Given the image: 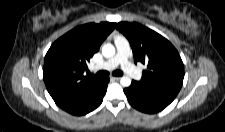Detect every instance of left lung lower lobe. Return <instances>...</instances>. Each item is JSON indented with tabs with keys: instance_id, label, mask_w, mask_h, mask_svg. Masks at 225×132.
<instances>
[{
	"instance_id": "1",
	"label": "left lung lower lobe",
	"mask_w": 225,
	"mask_h": 132,
	"mask_svg": "<svg viewBox=\"0 0 225 132\" xmlns=\"http://www.w3.org/2000/svg\"><path fill=\"white\" fill-rule=\"evenodd\" d=\"M124 93L134 108L150 114L163 110L178 94L172 90L147 87L138 81H132Z\"/></svg>"
}]
</instances>
